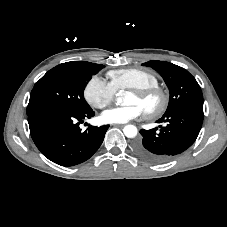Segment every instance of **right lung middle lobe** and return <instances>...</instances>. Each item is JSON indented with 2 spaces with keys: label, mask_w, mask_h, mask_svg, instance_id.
Instances as JSON below:
<instances>
[{
  "label": "right lung middle lobe",
  "mask_w": 227,
  "mask_h": 227,
  "mask_svg": "<svg viewBox=\"0 0 227 227\" xmlns=\"http://www.w3.org/2000/svg\"><path fill=\"white\" fill-rule=\"evenodd\" d=\"M103 65L86 61L62 63L49 70L36 82L27 106V114L44 108L85 111L90 106L84 99L83 90L88 78Z\"/></svg>",
  "instance_id": "right-lung-middle-lobe-1"
}]
</instances>
